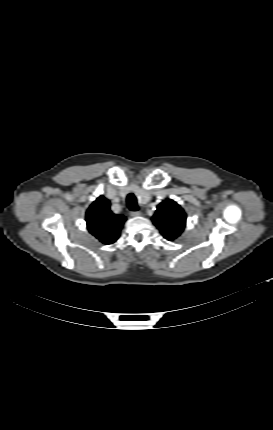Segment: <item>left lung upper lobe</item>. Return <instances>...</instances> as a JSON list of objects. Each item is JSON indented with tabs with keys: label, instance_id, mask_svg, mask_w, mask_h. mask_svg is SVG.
Wrapping results in <instances>:
<instances>
[{
	"label": "left lung upper lobe",
	"instance_id": "1",
	"mask_svg": "<svg viewBox=\"0 0 273 430\" xmlns=\"http://www.w3.org/2000/svg\"><path fill=\"white\" fill-rule=\"evenodd\" d=\"M153 223L167 240L177 238L185 227L186 214L184 210L171 199H167L157 206L152 217Z\"/></svg>",
	"mask_w": 273,
	"mask_h": 430
}]
</instances>
